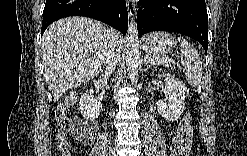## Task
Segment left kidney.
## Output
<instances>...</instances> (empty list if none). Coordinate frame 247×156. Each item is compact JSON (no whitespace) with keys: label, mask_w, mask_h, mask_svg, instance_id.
<instances>
[{"label":"left kidney","mask_w":247,"mask_h":156,"mask_svg":"<svg viewBox=\"0 0 247 156\" xmlns=\"http://www.w3.org/2000/svg\"><path fill=\"white\" fill-rule=\"evenodd\" d=\"M164 82L168 96L156 103L157 109L166 120L175 121L181 116L185 108L187 88L182 81L172 77L170 74L164 76Z\"/></svg>","instance_id":"left-kidney-1"}]
</instances>
